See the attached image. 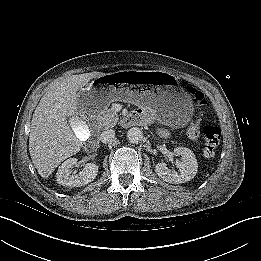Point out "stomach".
Masks as SVG:
<instances>
[{"label": "stomach", "mask_w": 261, "mask_h": 261, "mask_svg": "<svg viewBox=\"0 0 261 261\" xmlns=\"http://www.w3.org/2000/svg\"><path fill=\"white\" fill-rule=\"evenodd\" d=\"M86 99L88 112H100L112 101H128L157 110L163 123L186 125L192 113L191 100L179 88L177 78L164 71L125 70L95 78L78 96Z\"/></svg>", "instance_id": "0dacf381"}]
</instances>
